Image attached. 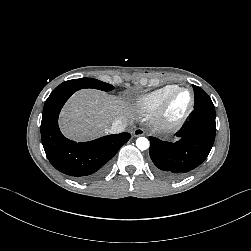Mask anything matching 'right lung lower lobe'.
I'll list each match as a JSON object with an SVG mask.
<instances>
[{
	"mask_svg": "<svg viewBox=\"0 0 251 251\" xmlns=\"http://www.w3.org/2000/svg\"><path fill=\"white\" fill-rule=\"evenodd\" d=\"M74 92L76 90L53 91L46 100L41 121L42 144L57 170L80 180H92L106 173L109 160L131 135L124 132L79 143L65 138L58 127V116Z\"/></svg>",
	"mask_w": 251,
	"mask_h": 251,
	"instance_id": "right-lung-lower-lobe-1",
	"label": "right lung lower lobe"
}]
</instances>
